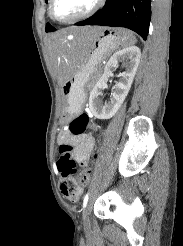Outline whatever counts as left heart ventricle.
<instances>
[{"label":"left heart ventricle","instance_id":"b2bd125f","mask_svg":"<svg viewBox=\"0 0 183 246\" xmlns=\"http://www.w3.org/2000/svg\"><path fill=\"white\" fill-rule=\"evenodd\" d=\"M96 0H55L54 15L59 19L76 17L89 10Z\"/></svg>","mask_w":183,"mask_h":246}]
</instances>
